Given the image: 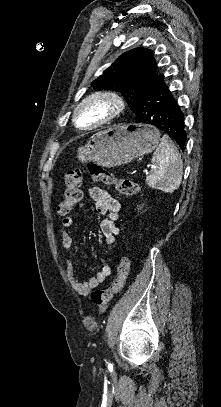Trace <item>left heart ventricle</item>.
<instances>
[{
	"instance_id": "obj_1",
	"label": "left heart ventricle",
	"mask_w": 221,
	"mask_h": 407,
	"mask_svg": "<svg viewBox=\"0 0 221 407\" xmlns=\"http://www.w3.org/2000/svg\"><path fill=\"white\" fill-rule=\"evenodd\" d=\"M105 106L101 103H93L81 110L79 120L82 124H90L101 117L105 112Z\"/></svg>"
}]
</instances>
